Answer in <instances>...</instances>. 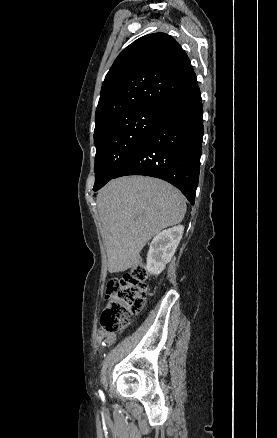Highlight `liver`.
<instances>
[{"mask_svg":"<svg viewBox=\"0 0 277 438\" xmlns=\"http://www.w3.org/2000/svg\"><path fill=\"white\" fill-rule=\"evenodd\" d=\"M96 202L110 274L129 270L155 234L180 224L186 214L181 192L148 176L111 180Z\"/></svg>","mask_w":277,"mask_h":438,"instance_id":"obj_1","label":"liver"}]
</instances>
